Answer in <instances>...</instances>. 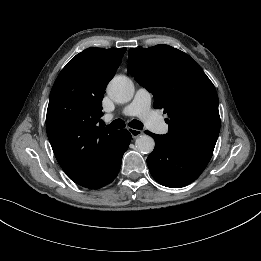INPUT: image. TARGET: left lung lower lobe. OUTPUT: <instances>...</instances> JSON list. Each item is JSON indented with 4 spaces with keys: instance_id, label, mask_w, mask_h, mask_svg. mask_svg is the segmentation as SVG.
Wrapping results in <instances>:
<instances>
[{
    "instance_id": "0a47b994",
    "label": "left lung lower lobe",
    "mask_w": 261,
    "mask_h": 261,
    "mask_svg": "<svg viewBox=\"0 0 261 261\" xmlns=\"http://www.w3.org/2000/svg\"><path fill=\"white\" fill-rule=\"evenodd\" d=\"M146 133L155 140V148L147 158L149 171L167 187H184L196 180L213 154V148L184 145L166 135Z\"/></svg>"
}]
</instances>
